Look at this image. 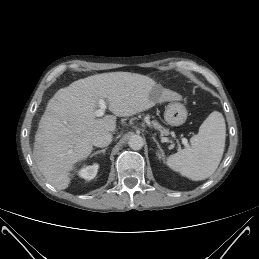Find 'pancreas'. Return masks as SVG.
<instances>
[{
    "label": "pancreas",
    "mask_w": 259,
    "mask_h": 259,
    "mask_svg": "<svg viewBox=\"0 0 259 259\" xmlns=\"http://www.w3.org/2000/svg\"><path fill=\"white\" fill-rule=\"evenodd\" d=\"M153 127L157 130H159L161 133L163 134H168V131L166 129H164L158 122H152Z\"/></svg>",
    "instance_id": "1"
}]
</instances>
